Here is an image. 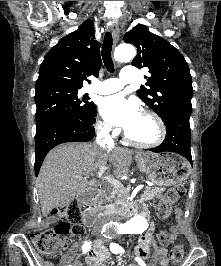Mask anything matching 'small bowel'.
Here are the masks:
<instances>
[{
	"label": "small bowel",
	"instance_id": "c3829d8e",
	"mask_svg": "<svg viewBox=\"0 0 221 266\" xmlns=\"http://www.w3.org/2000/svg\"><path fill=\"white\" fill-rule=\"evenodd\" d=\"M140 216L146 217L145 213H141ZM152 240L151 227H148L147 231L143 233L139 239L135 248V253L141 258H145L149 254L150 242ZM154 254L152 256V262L158 266H167L169 263L168 249L160 245L154 244ZM88 266H101L106 263L107 266H112L113 261L110 258V254L106 250H101L99 247L92 250L86 258ZM76 266H82L81 263H77ZM128 266H134L132 264Z\"/></svg>",
	"mask_w": 221,
	"mask_h": 266
}]
</instances>
